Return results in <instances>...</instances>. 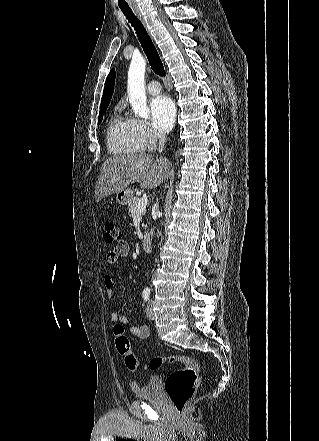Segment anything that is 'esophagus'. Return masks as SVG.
I'll use <instances>...</instances> for the list:
<instances>
[{
	"label": "esophagus",
	"mask_w": 319,
	"mask_h": 441,
	"mask_svg": "<svg viewBox=\"0 0 319 441\" xmlns=\"http://www.w3.org/2000/svg\"><path fill=\"white\" fill-rule=\"evenodd\" d=\"M134 10H135V12H136L138 18L140 19L141 23L143 24L144 28H145L146 31L149 33V29H148V27H147V24H146V22H145V20H144V17H143V15H142V13L140 12V10H139L137 7H134Z\"/></svg>",
	"instance_id": "esophagus-1"
}]
</instances>
